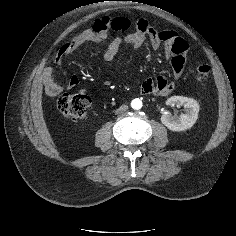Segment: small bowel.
Instances as JSON below:
<instances>
[{
	"mask_svg": "<svg viewBox=\"0 0 236 236\" xmlns=\"http://www.w3.org/2000/svg\"><path fill=\"white\" fill-rule=\"evenodd\" d=\"M111 22V18H103L101 26L94 24L92 28L81 31L75 38L64 43L54 58V64L57 66L61 65L67 55L85 43H105L109 37ZM146 41H149L151 47L155 50L164 46L165 56L171 63L172 77L171 79L165 76H158L156 79L148 78L142 82L140 92L144 95H169L174 90L176 81L183 74L189 51L187 41L175 31H157L147 20L140 19L136 22L134 31L127 33L123 37H116L107 44L103 50V60L106 63L111 62L123 44L139 49ZM54 73L55 69L53 66L45 67L41 73L44 89L50 96H58L63 92L64 88L70 89L79 83L78 77L72 76L65 87H63L55 81Z\"/></svg>",
	"mask_w": 236,
	"mask_h": 236,
	"instance_id": "1",
	"label": "small bowel"
}]
</instances>
